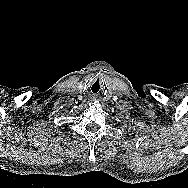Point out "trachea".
I'll list each match as a JSON object with an SVG mask.
<instances>
[{
  "label": "trachea",
  "mask_w": 188,
  "mask_h": 188,
  "mask_svg": "<svg viewBox=\"0 0 188 188\" xmlns=\"http://www.w3.org/2000/svg\"><path fill=\"white\" fill-rule=\"evenodd\" d=\"M103 83L100 80H95L92 83L91 93L94 96H99L102 93Z\"/></svg>",
  "instance_id": "obj_1"
}]
</instances>
